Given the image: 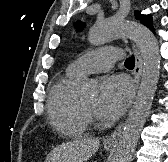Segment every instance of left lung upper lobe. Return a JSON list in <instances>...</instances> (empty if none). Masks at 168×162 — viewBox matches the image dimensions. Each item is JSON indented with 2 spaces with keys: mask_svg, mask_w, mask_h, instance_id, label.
Returning a JSON list of instances; mask_svg holds the SVG:
<instances>
[{
  "mask_svg": "<svg viewBox=\"0 0 168 162\" xmlns=\"http://www.w3.org/2000/svg\"><path fill=\"white\" fill-rule=\"evenodd\" d=\"M134 15H135L136 19L140 20L143 25H145L147 27H150L152 25L153 20H152L151 15H142L141 12H139V11H135ZM75 26L80 31L84 28L85 24L82 22H77V23H75Z\"/></svg>",
  "mask_w": 168,
  "mask_h": 162,
  "instance_id": "left-lung-upper-lobe-1",
  "label": "left lung upper lobe"
}]
</instances>
